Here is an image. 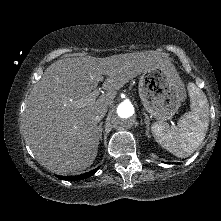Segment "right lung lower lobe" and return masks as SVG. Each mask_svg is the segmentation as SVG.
I'll list each match as a JSON object with an SVG mask.
<instances>
[{
	"mask_svg": "<svg viewBox=\"0 0 221 221\" xmlns=\"http://www.w3.org/2000/svg\"><path fill=\"white\" fill-rule=\"evenodd\" d=\"M99 169L96 168L88 173H84L82 175H77V176H57L59 179H63V180H67V181H76V180H81V179H85L89 176H92L93 174H95V172Z\"/></svg>",
	"mask_w": 221,
	"mask_h": 221,
	"instance_id": "98d812e1",
	"label": "right lung lower lobe"
}]
</instances>
